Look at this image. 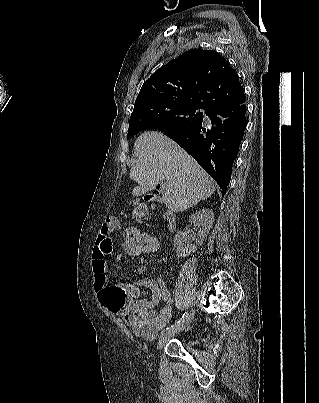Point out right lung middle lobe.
<instances>
[{"label": "right lung middle lobe", "instance_id": "right-lung-middle-lobe-1", "mask_svg": "<svg viewBox=\"0 0 319 403\" xmlns=\"http://www.w3.org/2000/svg\"><path fill=\"white\" fill-rule=\"evenodd\" d=\"M202 109L195 105L166 103L152 105L130 118L127 138L140 131L157 128L172 129L192 125L203 118ZM207 112V111H205Z\"/></svg>", "mask_w": 319, "mask_h": 403}]
</instances>
